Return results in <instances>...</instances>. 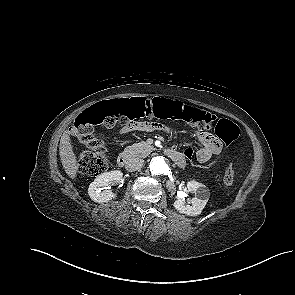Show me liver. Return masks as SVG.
<instances>
[{
  "label": "liver",
  "mask_w": 295,
  "mask_h": 295,
  "mask_svg": "<svg viewBox=\"0 0 295 295\" xmlns=\"http://www.w3.org/2000/svg\"><path fill=\"white\" fill-rule=\"evenodd\" d=\"M71 133L72 132L68 131L61 137L59 154L66 174L71 179H75L79 169V164L77 163V157L73 151V146L69 136Z\"/></svg>",
  "instance_id": "liver-1"
}]
</instances>
